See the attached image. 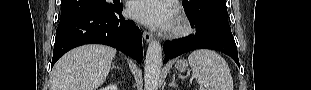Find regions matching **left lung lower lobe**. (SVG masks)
Returning a JSON list of instances; mask_svg holds the SVG:
<instances>
[{
  "mask_svg": "<svg viewBox=\"0 0 311 90\" xmlns=\"http://www.w3.org/2000/svg\"><path fill=\"white\" fill-rule=\"evenodd\" d=\"M202 48L221 51L229 55L240 66L236 43L231 31L212 25L196 28L195 35L188 40L165 42L163 45L164 63L185 52Z\"/></svg>",
  "mask_w": 311,
  "mask_h": 90,
  "instance_id": "left-lung-lower-lobe-1",
  "label": "left lung lower lobe"
}]
</instances>
